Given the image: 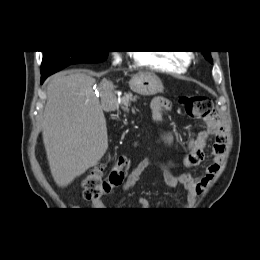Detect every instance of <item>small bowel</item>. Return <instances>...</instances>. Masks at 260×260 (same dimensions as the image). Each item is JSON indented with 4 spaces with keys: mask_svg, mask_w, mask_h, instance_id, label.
Wrapping results in <instances>:
<instances>
[{
    "mask_svg": "<svg viewBox=\"0 0 260 260\" xmlns=\"http://www.w3.org/2000/svg\"><path fill=\"white\" fill-rule=\"evenodd\" d=\"M171 107L172 105L169 99L164 97L154 98L150 104L154 123L158 125L161 124L164 112L171 110ZM204 120L205 129L188 140L186 153L181 163H176L171 160L161 162L151 158H144L128 173L121 189L127 191L133 188L146 169L156 167L162 171L164 181L168 187L174 188L178 185L182 186L190 199H195L200 195L219 170L226 148L225 133L221 120L216 115L207 117ZM211 135L214 136V142L209 153H206L205 147ZM163 138L167 145L171 143L172 137L169 133L163 132ZM206 160H208V163L205 169L198 174H191L186 171L180 173L174 172V169L179 166L186 168L195 167ZM137 204L142 210H148L150 208V202L144 197L139 198ZM92 208L94 210H104L106 205L101 200H94L92 202Z\"/></svg>",
    "mask_w": 260,
    "mask_h": 260,
    "instance_id": "1",
    "label": "small bowel"
}]
</instances>
